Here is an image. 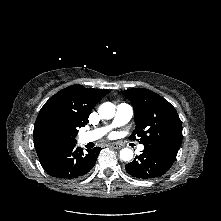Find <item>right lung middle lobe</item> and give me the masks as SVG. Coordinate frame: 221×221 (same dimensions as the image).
I'll use <instances>...</instances> for the list:
<instances>
[{
    "label": "right lung middle lobe",
    "mask_w": 221,
    "mask_h": 221,
    "mask_svg": "<svg viewBox=\"0 0 221 221\" xmlns=\"http://www.w3.org/2000/svg\"><path fill=\"white\" fill-rule=\"evenodd\" d=\"M77 127L70 124L44 121L34 128L36 151L76 143Z\"/></svg>",
    "instance_id": "1"
}]
</instances>
